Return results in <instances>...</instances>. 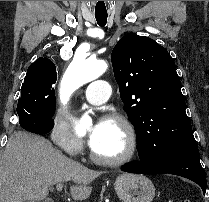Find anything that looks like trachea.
I'll list each match as a JSON object with an SVG mask.
<instances>
[{"label":"trachea","instance_id":"obj_1","mask_svg":"<svg viewBox=\"0 0 209 202\" xmlns=\"http://www.w3.org/2000/svg\"><path fill=\"white\" fill-rule=\"evenodd\" d=\"M95 18H96L97 24L99 26L104 27L106 25L107 15H96L95 14Z\"/></svg>","mask_w":209,"mask_h":202}]
</instances>
